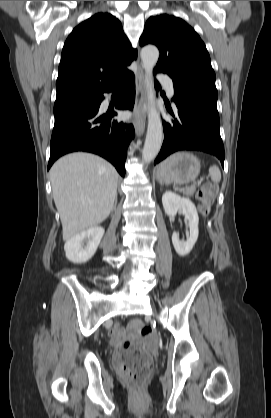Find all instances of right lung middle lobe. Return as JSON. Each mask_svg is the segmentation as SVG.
<instances>
[{
	"label": "right lung middle lobe",
	"mask_w": 271,
	"mask_h": 418,
	"mask_svg": "<svg viewBox=\"0 0 271 418\" xmlns=\"http://www.w3.org/2000/svg\"><path fill=\"white\" fill-rule=\"evenodd\" d=\"M96 99L97 98H86V99H77V100H72V101L55 103L54 104V114L66 109V108L81 105V104H85V103H89V102L95 101Z\"/></svg>",
	"instance_id": "right-lung-middle-lobe-1"
}]
</instances>
